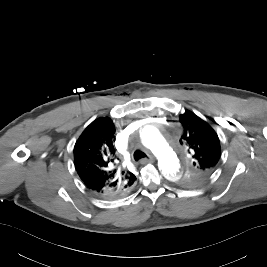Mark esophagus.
Masks as SVG:
<instances>
[{"label":"esophagus","mask_w":267,"mask_h":267,"mask_svg":"<svg viewBox=\"0 0 267 267\" xmlns=\"http://www.w3.org/2000/svg\"><path fill=\"white\" fill-rule=\"evenodd\" d=\"M152 162H153L152 157L144 158L140 161L141 164L152 163Z\"/></svg>","instance_id":"esophagus-1"}]
</instances>
